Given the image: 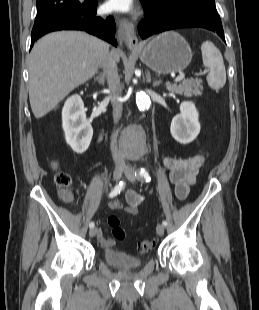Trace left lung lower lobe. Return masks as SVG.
Wrapping results in <instances>:
<instances>
[{
	"mask_svg": "<svg viewBox=\"0 0 259 310\" xmlns=\"http://www.w3.org/2000/svg\"><path fill=\"white\" fill-rule=\"evenodd\" d=\"M145 19L138 25L142 39L153 34L176 28L200 27L217 33L225 41L224 31L216 7L206 5L189 6L163 16H158L143 3Z\"/></svg>",
	"mask_w": 259,
	"mask_h": 310,
	"instance_id": "1",
	"label": "left lung lower lobe"
}]
</instances>
